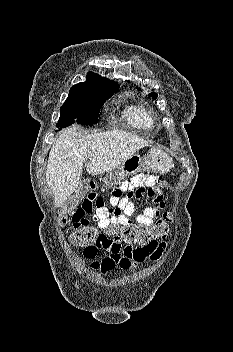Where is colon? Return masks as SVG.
Masks as SVG:
<instances>
[{
	"instance_id": "5ec220e1",
	"label": "colon",
	"mask_w": 233,
	"mask_h": 352,
	"mask_svg": "<svg viewBox=\"0 0 233 352\" xmlns=\"http://www.w3.org/2000/svg\"><path fill=\"white\" fill-rule=\"evenodd\" d=\"M171 222V214L164 213L163 216L151 226L110 228L105 233L100 232L98 228L90 225V222H87L75 229L70 237V241L75 246L87 248L102 243L109 237L118 236L130 246L147 245L157 241V239L165 238Z\"/></svg>"
}]
</instances>
